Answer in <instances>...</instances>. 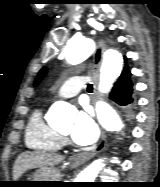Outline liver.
I'll return each instance as SVG.
<instances>
[{
    "label": "liver",
    "mask_w": 160,
    "mask_h": 187,
    "mask_svg": "<svg viewBox=\"0 0 160 187\" xmlns=\"http://www.w3.org/2000/svg\"><path fill=\"white\" fill-rule=\"evenodd\" d=\"M64 160L58 154H48L43 152H24L18 156L13 167V179L17 180L27 170L34 168L54 167Z\"/></svg>",
    "instance_id": "obj_1"
}]
</instances>
